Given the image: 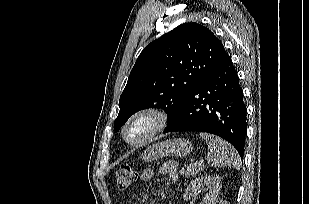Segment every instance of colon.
Segmentation results:
<instances>
[{"instance_id": "5ec220e1", "label": "colon", "mask_w": 309, "mask_h": 204, "mask_svg": "<svg viewBox=\"0 0 309 204\" xmlns=\"http://www.w3.org/2000/svg\"><path fill=\"white\" fill-rule=\"evenodd\" d=\"M136 172L130 165L122 166L117 172V188L120 191H125L135 180Z\"/></svg>"}]
</instances>
